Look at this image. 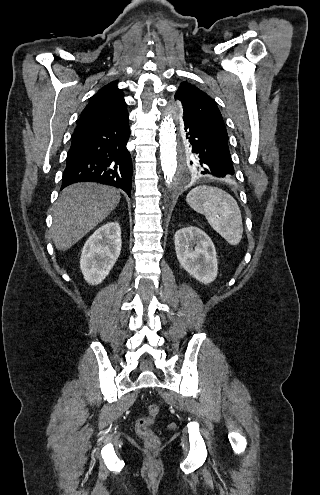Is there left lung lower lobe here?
Segmentation results:
<instances>
[{
  "mask_svg": "<svg viewBox=\"0 0 320 495\" xmlns=\"http://www.w3.org/2000/svg\"><path fill=\"white\" fill-rule=\"evenodd\" d=\"M181 126L188 144L200 152L199 160L203 175L223 178L234 174L227 142L193 118L182 117Z\"/></svg>",
  "mask_w": 320,
  "mask_h": 495,
  "instance_id": "left-lung-lower-lobe-1",
  "label": "left lung lower lobe"
}]
</instances>
